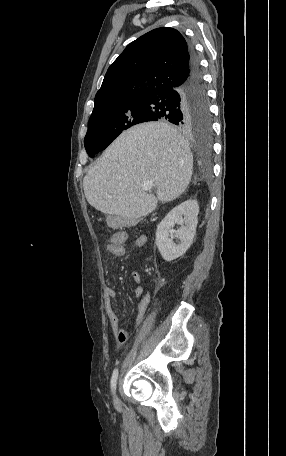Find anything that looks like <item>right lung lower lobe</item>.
<instances>
[{"mask_svg":"<svg viewBox=\"0 0 286 456\" xmlns=\"http://www.w3.org/2000/svg\"><path fill=\"white\" fill-rule=\"evenodd\" d=\"M147 107L146 121H169L180 128L202 123L208 115L209 104L198 58L190 47L189 74L184 81L142 97Z\"/></svg>","mask_w":286,"mask_h":456,"instance_id":"right-lung-lower-lobe-1","label":"right lung lower lobe"}]
</instances>
